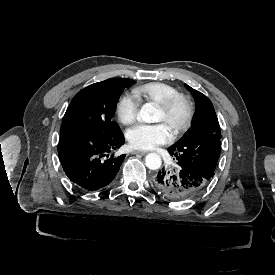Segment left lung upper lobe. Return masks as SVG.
<instances>
[{
    "label": "left lung upper lobe",
    "mask_w": 275,
    "mask_h": 275,
    "mask_svg": "<svg viewBox=\"0 0 275 275\" xmlns=\"http://www.w3.org/2000/svg\"><path fill=\"white\" fill-rule=\"evenodd\" d=\"M185 87L196 102V113L192 128L175 144L169 147L177 163L186 166L200 176L210 180L214 176L220 156L221 133L219 122L211 101L201 92Z\"/></svg>",
    "instance_id": "1"
}]
</instances>
